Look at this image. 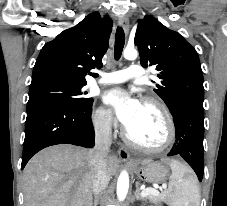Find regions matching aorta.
Instances as JSON below:
<instances>
[{"instance_id":"1","label":"aorta","mask_w":227,"mask_h":206,"mask_svg":"<svg viewBox=\"0 0 227 206\" xmlns=\"http://www.w3.org/2000/svg\"><path fill=\"white\" fill-rule=\"evenodd\" d=\"M123 56L127 60H135L138 56L137 51L134 48H126L123 52ZM129 189V175L126 170H123L117 181V198L122 202L125 200Z\"/></svg>"}]
</instances>
